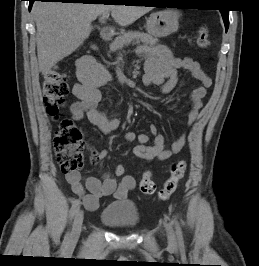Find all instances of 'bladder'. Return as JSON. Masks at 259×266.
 I'll list each match as a JSON object with an SVG mask.
<instances>
[{
  "instance_id": "1",
  "label": "bladder",
  "mask_w": 259,
  "mask_h": 266,
  "mask_svg": "<svg viewBox=\"0 0 259 266\" xmlns=\"http://www.w3.org/2000/svg\"><path fill=\"white\" fill-rule=\"evenodd\" d=\"M100 219L112 228H133L139 221V212L131 201L114 202L102 211Z\"/></svg>"
}]
</instances>
